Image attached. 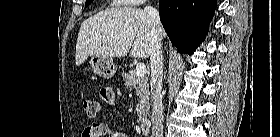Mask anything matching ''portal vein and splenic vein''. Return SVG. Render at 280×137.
<instances>
[{
  "label": "portal vein and splenic vein",
  "instance_id": "obj_1",
  "mask_svg": "<svg viewBox=\"0 0 280 137\" xmlns=\"http://www.w3.org/2000/svg\"><path fill=\"white\" fill-rule=\"evenodd\" d=\"M135 73L138 77H143L146 73V66L144 63H138L136 65Z\"/></svg>",
  "mask_w": 280,
  "mask_h": 137
}]
</instances>
